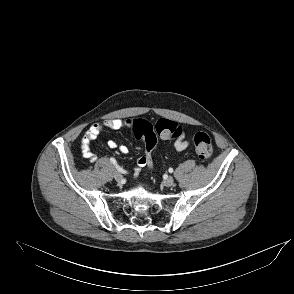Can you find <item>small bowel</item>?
<instances>
[{
  "mask_svg": "<svg viewBox=\"0 0 294 294\" xmlns=\"http://www.w3.org/2000/svg\"><path fill=\"white\" fill-rule=\"evenodd\" d=\"M133 119H108L101 122L94 123L90 126V128L87 130L85 135L82 138L81 142V148H82V154L84 158H86L90 162H95L97 160V156L91 151L90 144L100 135V133L105 129H113L118 130L122 128H131ZM189 145V142L186 140L185 136L181 133V135L175 140L174 142V148L177 151H183L185 150ZM108 147L111 149H118L120 153L127 154L129 152V149L127 146L118 144L113 140L108 141ZM150 164V162L145 158L141 157L137 159L135 170L140 171L142 168H144L146 165Z\"/></svg>",
  "mask_w": 294,
  "mask_h": 294,
  "instance_id": "1",
  "label": "small bowel"
}]
</instances>
